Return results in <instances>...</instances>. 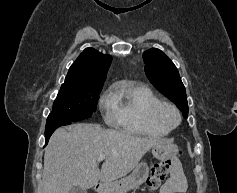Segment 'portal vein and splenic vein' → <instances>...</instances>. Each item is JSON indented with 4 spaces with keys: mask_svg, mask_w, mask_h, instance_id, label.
<instances>
[{
    "mask_svg": "<svg viewBox=\"0 0 237 193\" xmlns=\"http://www.w3.org/2000/svg\"><path fill=\"white\" fill-rule=\"evenodd\" d=\"M105 157H106V156L102 154V155H100V156L97 158V160H98V161H102V160L105 159Z\"/></svg>",
    "mask_w": 237,
    "mask_h": 193,
    "instance_id": "18ae733b",
    "label": "portal vein and splenic vein"
}]
</instances>
